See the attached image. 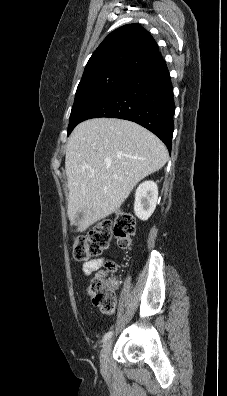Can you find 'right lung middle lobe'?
I'll use <instances>...</instances> for the list:
<instances>
[{
  "mask_svg": "<svg viewBox=\"0 0 227 396\" xmlns=\"http://www.w3.org/2000/svg\"><path fill=\"white\" fill-rule=\"evenodd\" d=\"M133 70L109 68L83 77L78 85L72 107L68 133L82 122L86 113L116 88Z\"/></svg>",
  "mask_w": 227,
  "mask_h": 396,
  "instance_id": "1",
  "label": "right lung middle lobe"
}]
</instances>
